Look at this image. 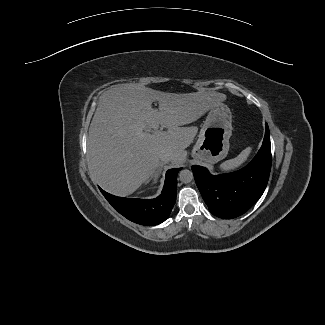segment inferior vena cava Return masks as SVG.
<instances>
[{
  "label": "inferior vena cava",
  "instance_id": "1",
  "mask_svg": "<svg viewBox=\"0 0 325 325\" xmlns=\"http://www.w3.org/2000/svg\"><path fill=\"white\" fill-rule=\"evenodd\" d=\"M159 159L164 162L172 161L173 159V154L170 151H161L159 153Z\"/></svg>",
  "mask_w": 325,
  "mask_h": 325
}]
</instances>
